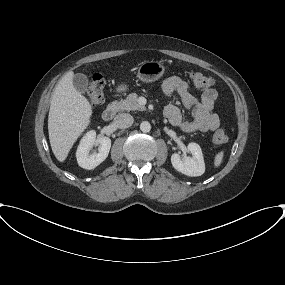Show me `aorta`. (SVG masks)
<instances>
[{
  "mask_svg": "<svg viewBox=\"0 0 285 285\" xmlns=\"http://www.w3.org/2000/svg\"><path fill=\"white\" fill-rule=\"evenodd\" d=\"M140 130L144 133H148L151 130V125L148 121H143L140 124Z\"/></svg>",
  "mask_w": 285,
  "mask_h": 285,
  "instance_id": "obj_1",
  "label": "aorta"
}]
</instances>
